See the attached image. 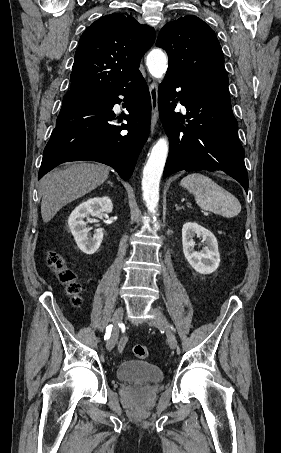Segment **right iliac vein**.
Here are the masks:
<instances>
[{
    "label": "right iliac vein",
    "instance_id": "63e3f726",
    "mask_svg": "<svg viewBox=\"0 0 281 453\" xmlns=\"http://www.w3.org/2000/svg\"><path fill=\"white\" fill-rule=\"evenodd\" d=\"M123 311H124L123 308H116V310L114 311L113 320L116 325L121 322ZM113 332L114 333L111 335L112 339L106 342V350H113V348H115L116 346L118 338V335L116 333L118 331L115 329Z\"/></svg>",
    "mask_w": 281,
    "mask_h": 453
}]
</instances>
